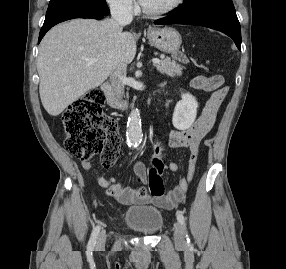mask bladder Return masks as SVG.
Masks as SVG:
<instances>
[{"instance_id":"bladder-1","label":"bladder","mask_w":286,"mask_h":269,"mask_svg":"<svg viewBox=\"0 0 286 269\" xmlns=\"http://www.w3.org/2000/svg\"><path fill=\"white\" fill-rule=\"evenodd\" d=\"M124 224L135 232L152 235L159 232L164 223L162 212L153 206H132L125 210Z\"/></svg>"}]
</instances>
